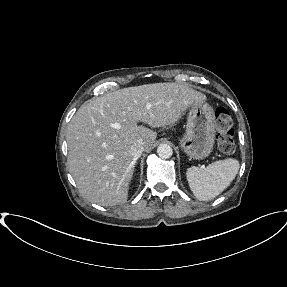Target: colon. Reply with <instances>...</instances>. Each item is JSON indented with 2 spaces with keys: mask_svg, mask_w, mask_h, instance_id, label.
<instances>
[{
  "mask_svg": "<svg viewBox=\"0 0 287 287\" xmlns=\"http://www.w3.org/2000/svg\"><path fill=\"white\" fill-rule=\"evenodd\" d=\"M217 127V145L221 152L229 154L235 148V134L233 130V119L230 113L223 107L217 108L215 112Z\"/></svg>",
  "mask_w": 287,
  "mask_h": 287,
  "instance_id": "5ec220e1",
  "label": "colon"
}]
</instances>
